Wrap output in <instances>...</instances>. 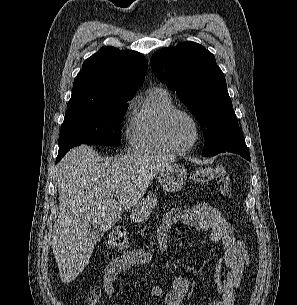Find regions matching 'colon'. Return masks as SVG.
<instances>
[{"mask_svg": "<svg viewBox=\"0 0 297 305\" xmlns=\"http://www.w3.org/2000/svg\"><path fill=\"white\" fill-rule=\"evenodd\" d=\"M192 180L196 184H206L215 181L222 197L230 194L231 176L222 166L204 167L196 169L192 174ZM128 246V237L123 228H115L108 235L106 247L111 252H122Z\"/></svg>", "mask_w": 297, "mask_h": 305, "instance_id": "colon-1", "label": "colon"}]
</instances>
